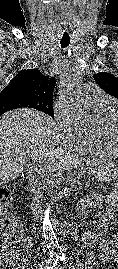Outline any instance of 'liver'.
<instances>
[{"mask_svg": "<svg viewBox=\"0 0 118 269\" xmlns=\"http://www.w3.org/2000/svg\"><path fill=\"white\" fill-rule=\"evenodd\" d=\"M59 133L52 118L22 108L0 116V185L25 173V167L45 174L96 164L58 147Z\"/></svg>", "mask_w": 118, "mask_h": 269, "instance_id": "obj_1", "label": "liver"}]
</instances>
